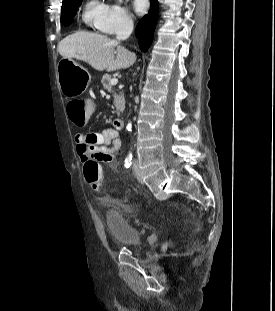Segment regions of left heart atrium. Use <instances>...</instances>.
I'll return each mask as SVG.
<instances>
[{
  "mask_svg": "<svg viewBox=\"0 0 275 311\" xmlns=\"http://www.w3.org/2000/svg\"><path fill=\"white\" fill-rule=\"evenodd\" d=\"M133 7L137 14H143L148 8V0H134Z\"/></svg>",
  "mask_w": 275,
  "mask_h": 311,
  "instance_id": "left-heart-atrium-1",
  "label": "left heart atrium"
}]
</instances>
